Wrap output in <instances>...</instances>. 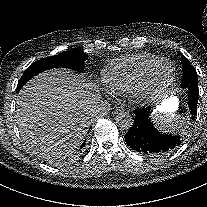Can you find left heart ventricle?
Listing matches in <instances>:
<instances>
[{"label":"left heart ventricle","instance_id":"left-heart-ventricle-1","mask_svg":"<svg viewBox=\"0 0 207 207\" xmlns=\"http://www.w3.org/2000/svg\"><path fill=\"white\" fill-rule=\"evenodd\" d=\"M172 71L173 67L170 63L161 64L150 76L152 88H163L167 84Z\"/></svg>","mask_w":207,"mask_h":207}]
</instances>
